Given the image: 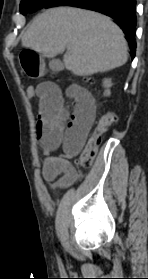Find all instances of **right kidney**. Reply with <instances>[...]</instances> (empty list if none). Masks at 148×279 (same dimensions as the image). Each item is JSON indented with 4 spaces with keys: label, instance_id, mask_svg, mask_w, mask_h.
<instances>
[{
    "label": "right kidney",
    "instance_id": "1",
    "mask_svg": "<svg viewBox=\"0 0 148 279\" xmlns=\"http://www.w3.org/2000/svg\"><path fill=\"white\" fill-rule=\"evenodd\" d=\"M112 86L111 79H104L103 80V87L105 88L104 96H110V87Z\"/></svg>",
    "mask_w": 148,
    "mask_h": 279
}]
</instances>
